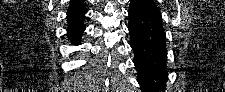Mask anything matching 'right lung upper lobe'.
Returning a JSON list of instances; mask_svg holds the SVG:
<instances>
[{
    "instance_id": "obj_1",
    "label": "right lung upper lobe",
    "mask_w": 225,
    "mask_h": 92,
    "mask_svg": "<svg viewBox=\"0 0 225 92\" xmlns=\"http://www.w3.org/2000/svg\"><path fill=\"white\" fill-rule=\"evenodd\" d=\"M86 13L83 0H72L67 11V19H72Z\"/></svg>"
}]
</instances>
